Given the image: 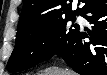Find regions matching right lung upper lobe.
<instances>
[{
    "label": "right lung upper lobe",
    "instance_id": "cb5924a9",
    "mask_svg": "<svg viewBox=\"0 0 107 75\" xmlns=\"http://www.w3.org/2000/svg\"><path fill=\"white\" fill-rule=\"evenodd\" d=\"M85 3L86 0H79ZM72 0H24L18 27L36 28L71 14L80 13L82 8L71 11Z\"/></svg>",
    "mask_w": 107,
    "mask_h": 75
}]
</instances>
